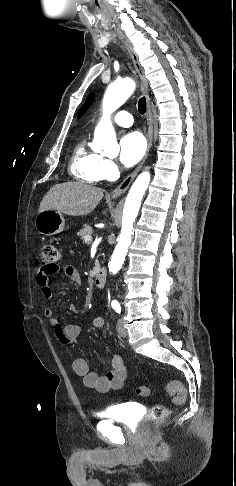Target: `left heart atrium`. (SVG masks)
Wrapping results in <instances>:
<instances>
[{
  "instance_id": "left-heart-atrium-1",
  "label": "left heart atrium",
  "mask_w": 236,
  "mask_h": 486,
  "mask_svg": "<svg viewBox=\"0 0 236 486\" xmlns=\"http://www.w3.org/2000/svg\"><path fill=\"white\" fill-rule=\"evenodd\" d=\"M119 146L120 161L126 167L136 164L143 157L146 150L145 139L138 132L125 134L120 139Z\"/></svg>"
}]
</instances>
